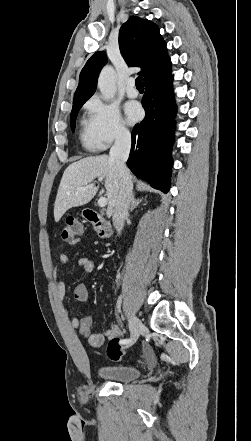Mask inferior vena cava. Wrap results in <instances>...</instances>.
Returning <instances> with one entry per match:
<instances>
[{"label": "inferior vena cava", "instance_id": "1", "mask_svg": "<svg viewBox=\"0 0 251 441\" xmlns=\"http://www.w3.org/2000/svg\"><path fill=\"white\" fill-rule=\"evenodd\" d=\"M131 148V135L126 129L118 131L114 145L111 147L110 159L115 163L118 180L119 192L112 211L113 225L120 234L124 227V221L128 216V210L132 197L133 184L130 173L126 167Z\"/></svg>", "mask_w": 251, "mask_h": 441}]
</instances>
